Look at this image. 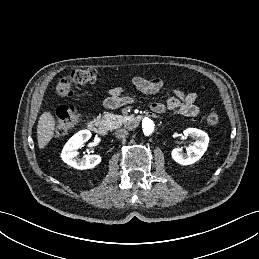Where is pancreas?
Wrapping results in <instances>:
<instances>
[{
	"label": "pancreas",
	"instance_id": "cf45deb5",
	"mask_svg": "<svg viewBox=\"0 0 259 259\" xmlns=\"http://www.w3.org/2000/svg\"><path fill=\"white\" fill-rule=\"evenodd\" d=\"M103 122L109 127V129H116L123 124L129 123V120L127 116H121V115H115L113 113H105L102 116Z\"/></svg>",
	"mask_w": 259,
	"mask_h": 259
}]
</instances>
